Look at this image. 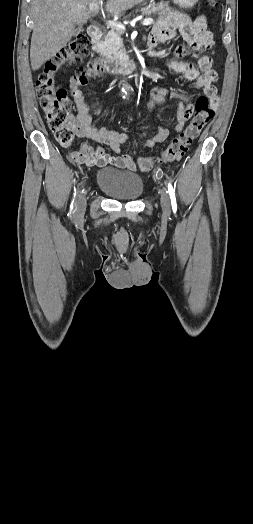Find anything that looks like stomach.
Masks as SVG:
<instances>
[{
	"mask_svg": "<svg viewBox=\"0 0 253 524\" xmlns=\"http://www.w3.org/2000/svg\"><path fill=\"white\" fill-rule=\"evenodd\" d=\"M174 4L178 5L181 8H192L198 0H172Z\"/></svg>",
	"mask_w": 253,
	"mask_h": 524,
	"instance_id": "stomach-1",
	"label": "stomach"
}]
</instances>
